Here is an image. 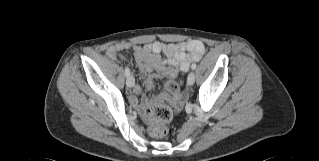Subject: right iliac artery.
<instances>
[{
    "mask_svg": "<svg viewBox=\"0 0 319 161\" xmlns=\"http://www.w3.org/2000/svg\"><path fill=\"white\" fill-rule=\"evenodd\" d=\"M129 74H130V70H129V68H128V67H126V68H125V75H126V77H128V76H129Z\"/></svg>",
    "mask_w": 319,
    "mask_h": 161,
    "instance_id": "1",
    "label": "right iliac artery"
}]
</instances>
